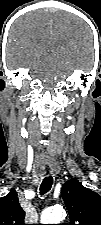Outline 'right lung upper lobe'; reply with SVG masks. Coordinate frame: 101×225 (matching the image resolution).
<instances>
[{
	"label": "right lung upper lobe",
	"mask_w": 101,
	"mask_h": 225,
	"mask_svg": "<svg viewBox=\"0 0 101 225\" xmlns=\"http://www.w3.org/2000/svg\"><path fill=\"white\" fill-rule=\"evenodd\" d=\"M25 212L21 208L17 192L12 189L0 199V225H25Z\"/></svg>",
	"instance_id": "right-lung-upper-lobe-1"
}]
</instances>
